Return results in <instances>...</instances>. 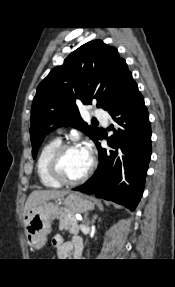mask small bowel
<instances>
[{
  "instance_id": "obj_1",
  "label": "small bowel",
  "mask_w": 175,
  "mask_h": 287,
  "mask_svg": "<svg viewBox=\"0 0 175 287\" xmlns=\"http://www.w3.org/2000/svg\"><path fill=\"white\" fill-rule=\"evenodd\" d=\"M52 244L57 249L59 259H68L72 254L76 256L81 252V240L78 237L73 238L70 242H64L61 235H56Z\"/></svg>"
}]
</instances>
